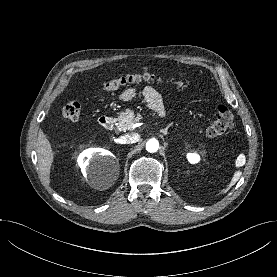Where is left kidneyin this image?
<instances>
[{
  "label": "left kidney",
  "mask_w": 277,
  "mask_h": 277,
  "mask_svg": "<svg viewBox=\"0 0 277 277\" xmlns=\"http://www.w3.org/2000/svg\"><path fill=\"white\" fill-rule=\"evenodd\" d=\"M187 159L190 163L195 164L200 161V156L196 153H188L187 154Z\"/></svg>",
  "instance_id": "obj_1"
}]
</instances>
